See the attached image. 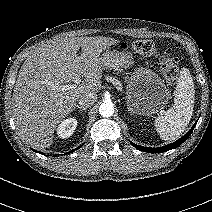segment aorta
<instances>
[{"label": "aorta", "instance_id": "aorta-1", "mask_svg": "<svg viewBox=\"0 0 212 212\" xmlns=\"http://www.w3.org/2000/svg\"><path fill=\"white\" fill-rule=\"evenodd\" d=\"M99 113L102 117H111L114 114V105L112 102H104L99 107Z\"/></svg>", "mask_w": 212, "mask_h": 212}]
</instances>
